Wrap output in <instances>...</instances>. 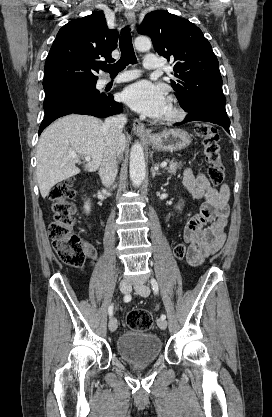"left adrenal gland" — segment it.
<instances>
[{
	"label": "left adrenal gland",
	"mask_w": 272,
	"mask_h": 417,
	"mask_svg": "<svg viewBox=\"0 0 272 417\" xmlns=\"http://www.w3.org/2000/svg\"><path fill=\"white\" fill-rule=\"evenodd\" d=\"M152 178H154L156 175H160L161 173L156 171L153 167L151 168Z\"/></svg>",
	"instance_id": "obj_1"
}]
</instances>
